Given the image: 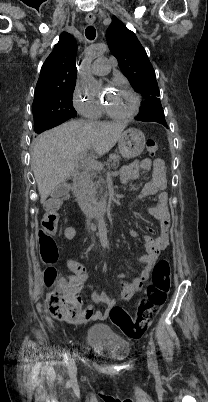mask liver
<instances>
[{"mask_svg":"<svg viewBox=\"0 0 208 402\" xmlns=\"http://www.w3.org/2000/svg\"><path fill=\"white\" fill-rule=\"evenodd\" d=\"M127 124L122 122H66L40 134L32 144V168L43 204L52 190L68 180L80 154L93 148L97 156L107 154Z\"/></svg>","mask_w":208,"mask_h":402,"instance_id":"obj_1","label":"liver"}]
</instances>
